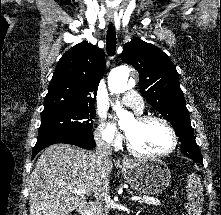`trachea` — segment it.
<instances>
[{
  "label": "trachea",
  "mask_w": 221,
  "mask_h": 215,
  "mask_svg": "<svg viewBox=\"0 0 221 215\" xmlns=\"http://www.w3.org/2000/svg\"><path fill=\"white\" fill-rule=\"evenodd\" d=\"M106 51L109 56H114L116 51V32L112 24H109L106 36Z\"/></svg>",
  "instance_id": "obj_1"
}]
</instances>
